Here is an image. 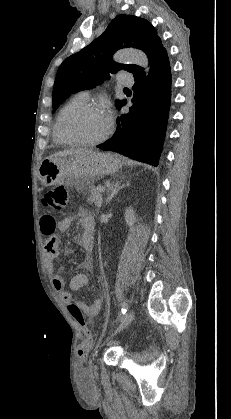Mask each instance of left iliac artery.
<instances>
[{"label": "left iliac artery", "mask_w": 231, "mask_h": 419, "mask_svg": "<svg viewBox=\"0 0 231 419\" xmlns=\"http://www.w3.org/2000/svg\"><path fill=\"white\" fill-rule=\"evenodd\" d=\"M127 310H128V304L126 302H123L122 305H121V313H122V315H125L126 312H127Z\"/></svg>", "instance_id": "44dca946"}]
</instances>
